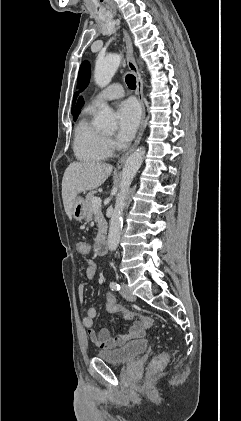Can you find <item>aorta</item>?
I'll list each match as a JSON object with an SVG mask.
<instances>
[{"instance_id": "obj_1", "label": "aorta", "mask_w": 241, "mask_h": 421, "mask_svg": "<svg viewBox=\"0 0 241 421\" xmlns=\"http://www.w3.org/2000/svg\"><path fill=\"white\" fill-rule=\"evenodd\" d=\"M120 62L121 56L118 54H112L105 58L98 59L94 72V79L96 84L100 87L107 86L116 73ZM95 124L103 129L116 127L113 110L106 104L102 105V110L95 119ZM144 154L145 149L140 148L132 153L125 161L122 170L120 191L116 196L114 210L110 218L108 233V248L110 251H115L118 247L121 236L123 210L125 207L127 192L133 181V178L135 177L138 169L142 164Z\"/></svg>"}]
</instances>
